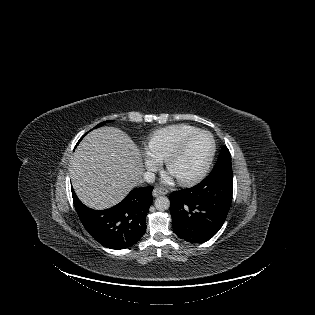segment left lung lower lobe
I'll return each instance as SVG.
<instances>
[{
  "mask_svg": "<svg viewBox=\"0 0 315 315\" xmlns=\"http://www.w3.org/2000/svg\"><path fill=\"white\" fill-rule=\"evenodd\" d=\"M233 178L210 181L174 191L170 197L173 231L191 243H203L222 227L232 202Z\"/></svg>",
  "mask_w": 315,
  "mask_h": 315,
  "instance_id": "0a47b994",
  "label": "left lung lower lobe"
}]
</instances>
